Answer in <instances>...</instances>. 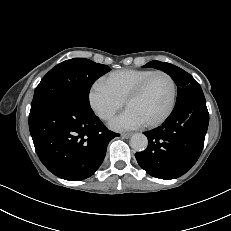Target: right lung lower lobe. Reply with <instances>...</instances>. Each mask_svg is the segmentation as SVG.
I'll list each match as a JSON object with an SVG mask.
<instances>
[{
	"label": "right lung lower lobe",
	"instance_id": "1",
	"mask_svg": "<svg viewBox=\"0 0 231 231\" xmlns=\"http://www.w3.org/2000/svg\"><path fill=\"white\" fill-rule=\"evenodd\" d=\"M29 129L41 162L69 181L93 175L109 141L119 136L106 128L90 104L70 95L56 96L30 111Z\"/></svg>",
	"mask_w": 231,
	"mask_h": 231
}]
</instances>
